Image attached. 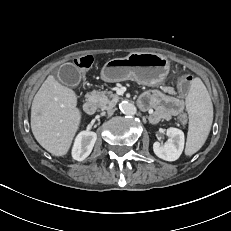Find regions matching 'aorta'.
Wrapping results in <instances>:
<instances>
[{"mask_svg": "<svg viewBox=\"0 0 231 231\" xmlns=\"http://www.w3.org/2000/svg\"><path fill=\"white\" fill-rule=\"evenodd\" d=\"M119 109L122 113L126 115H134L137 112L135 105L127 101L121 102L119 105Z\"/></svg>", "mask_w": 231, "mask_h": 231, "instance_id": "aorta-1", "label": "aorta"}]
</instances>
